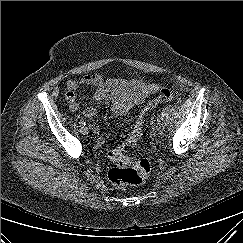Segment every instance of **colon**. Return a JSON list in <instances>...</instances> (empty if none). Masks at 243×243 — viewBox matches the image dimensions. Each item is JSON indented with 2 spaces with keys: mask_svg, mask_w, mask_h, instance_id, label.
<instances>
[{
  "mask_svg": "<svg viewBox=\"0 0 243 243\" xmlns=\"http://www.w3.org/2000/svg\"><path fill=\"white\" fill-rule=\"evenodd\" d=\"M173 99V93L170 89H162L153 99H150L144 109L140 112L136 123L128 137L118 146L109 150L108 159L113 163L109 170L108 177L111 183L121 188L125 185H138L144 182L151 171V163L148 159H134L126 155L129 147L136 145L138 142L142 126L144 123V113L162 103L169 102Z\"/></svg>",
  "mask_w": 243,
  "mask_h": 243,
  "instance_id": "5ec220e1",
  "label": "colon"
}]
</instances>
